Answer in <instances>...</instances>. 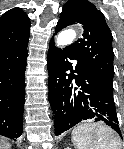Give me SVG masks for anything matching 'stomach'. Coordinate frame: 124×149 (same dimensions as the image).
I'll use <instances>...</instances> for the list:
<instances>
[{
	"instance_id": "1",
	"label": "stomach",
	"mask_w": 124,
	"mask_h": 149,
	"mask_svg": "<svg viewBox=\"0 0 124 149\" xmlns=\"http://www.w3.org/2000/svg\"><path fill=\"white\" fill-rule=\"evenodd\" d=\"M90 125L94 130H96V128H99V127H103L105 128L103 125H97V124H88ZM110 132L112 133V135L115 136L114 132L110 129Z\"/></svg>"
}]
</instances>
